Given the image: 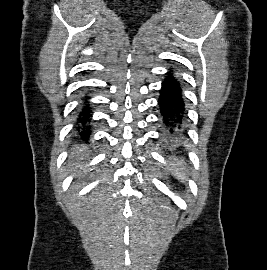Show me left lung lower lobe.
<instances>
[{
  "label": "left lung lower lobe",
  "mask_w": 267,
  "mask_h": 270,
  "mask_svg": "<svg viewBox=\"0 0 267 270\" xmlns=\"http://www.w3.org/2000/svg\"><path fill=\"white\" fill-rule=\"evenodd\" d=\"M165 141L174 145L185 135L186 109L179 80L170 71L162 82L158 99Z\"/></svg>",
  "instance_id": "obj_1"
}]
</instances>
